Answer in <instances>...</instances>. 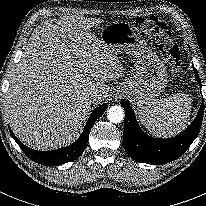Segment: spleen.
Returning <instances> with one entry per match:
<instances>
[{"mask_svg":"<svg viewBox=\"0 0 206 206\" xmlns=\"http://www.w3.org/2000/svg\"><path fill=\"white\" fill-rule=\"evenodd\" d=\"M191 112V98L185 93L147 102L138 110L143 126L157 136H171L187 125Z\"/></svg>","mask_w":206,"mask_h":206,"instance_id":"3e777b00","label":"spleen"}]
</instances>
